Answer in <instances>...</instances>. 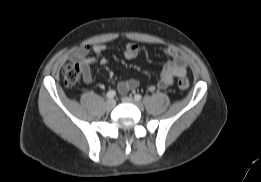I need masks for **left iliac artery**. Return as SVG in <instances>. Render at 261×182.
I'll list each match as a JSON object with an SVG mask.
<instances>
[{"label": "left iliac artery", "mask_w": 261, "mask_h": 182, "mask_svg": "<svg viewBox=\"0 0 261 182\" xmlns=\"http://www.w3.org/2000/svg\"><path fill=\"white\" fill-rule=\"evenodd\" d=\"M134 98L137 100V101H140L142 99V96L140 94H135L134 95Z\"/></svg>", "instance_id": "left-iliac-artery-1"}]
</instances>
